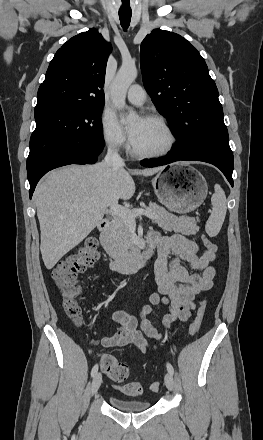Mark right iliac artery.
Listing matches in <instances>:
<instances>
[{
    "label": "right iliac artery",
    "instance_id": "right-iliac-artery-1",
    "mask_svg": "<svg viewBox=\"0 0 263 440\" xmlns=\"http://www.w3.org/2000/svg\"><path fill=\"white\" fill-rule=\"evenodd\" d=\"M97 372H98V365L95 364L91 370V376L94 377Z\"/></svg>",
    "mask_w": 263,
    "mask_h": 440
}]
</instances>
